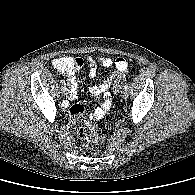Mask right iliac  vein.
Segmentation results:
<instances>
[{"label":"right iliac vein","mask_w":195,"mask_h":195,"mask_svg":"<svg viewBox=\"0 0 195 195\" xmlns=\"http://www.w3.org/2000/svg\"><path fill=\"white\" fill-rule=\"evenodd\" d=\"M61 93H62L63 95H66V94H67V88H66L65 86H63V87L61 88Z\"/></svg>","instance_id":"obj_1"}]
</instances>
